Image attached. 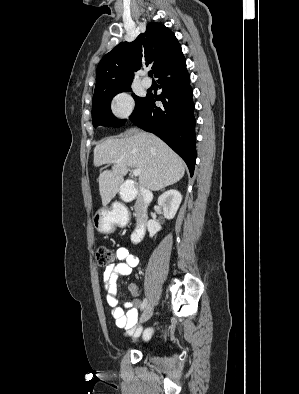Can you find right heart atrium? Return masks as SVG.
I'll use <instances>...</instances> for the list:
<instances>
[{
  "mask_svg": "<svg viewBox=\"0 0 299 394\" xmlns=\"http://www.w3.org/2000/svg\"><path fill=\"white\" fill-rule=\"evenodd\" d=\"M133 107L132 97L125 92L117 94L112 101V111L119 119L128 118L133 111Z\"/></svg>",
  "mask_w": 299,
  "mask_h": 394,
  "instance_id": "obj_1",
  "label": "right heart atrium"
}]
</instances>
